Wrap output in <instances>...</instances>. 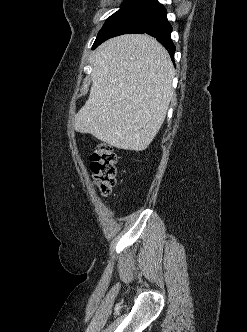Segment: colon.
<instances>
[{"label":"colon","mask_w":247,"mask_h":332,"mask_svg":"<svg viewBox=\"0 0 247 332\" xmlns=\"http://www.w3.org/2000/svg\"><path fill=\"white\" fill-rule=\"evenodd\" d=\"M93 180L103 195L112 192L118 174V158L113 148L105 142H98L90 157Z\"/></svg>","instance_id":"obj_1"}]
</instances>
